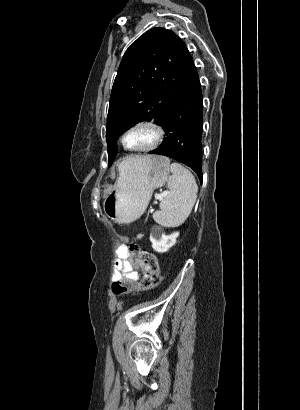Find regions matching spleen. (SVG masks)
I'll return each mask as SVG.
<instances>
[{
    "label": "spleen",
    "mask_w": 300,
    "mask_h": 410,
    "mask_svg": "<svg viewBox=\"0 0 300 410\" xmlns=\"http://www.w3.org/2000/svg\"><path fill=\"white\" fill-rule=\"evenodd\" d=\"M126 167L121 162L120 172ZM172 176L168 181L169 192L160 203V210L153 214L156 223L164 227H177L185 222L195 204L198 186L193 174L179 163L170 165Z\"/></svg>",
    "instance_id": "obj_1"
}]
</instances>
